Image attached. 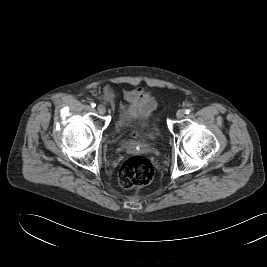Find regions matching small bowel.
Here are the masks:
<instances>
[{
    "mask_svg": "<svg viewBox=\"0 0 267 267\" xmlns=\"http://www.w3.org/2000/svg\"><path fill=\"white\" fill-rule=\"evenodd\" d=\"M107 99L112 98V91L107 90L104 94ZM126 106L122 118L126 122H138L146 125L151 113L156 109L157 102L151 93L143 88L137 87L126 91L124 94Z\"/></svg>",
    "mask_w": 267,
    "mask_h": 267,
    "instance_id": "obj_1",
    "label": "small bowel"
}]
</instances>
